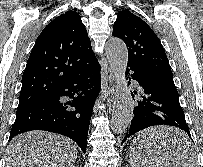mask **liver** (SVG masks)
<instances>
[{
  "label": "liver",
  "instance_id": "liver-1",
  "mask_svg": "<svg viewBox=\"0 0 203 167\" xmlns=\"http://www.w3.org/2000/svg\"><path fill=\"white\" fill-rule=\"evenodd\" d=\"M187 137L172 127L157 126L142 131L135 139L155 154L163 165L179 167L189 160V148L178 144ZM155 147V149L153 148ZM77 158L75 143L69 138L45 131H30L14 137L6 149V167H74Z\"/></svg>",
  "mask_w": 203,
  "mask_h": 167
}]
</instances>
